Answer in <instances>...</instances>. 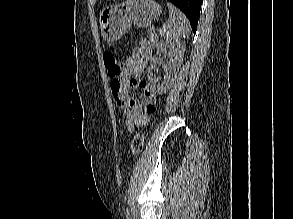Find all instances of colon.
Wrapping results in <instances>:
<instances>
[{"label": "colon", "instance_id": "5ec220e1", "mask_svg": "<svg viewBox=\"0 0 293 219\" xmlns=\"http://www.w3.org/2000/svg\"><path fill=\"white\" fill-rule=\"evenodd\" d=\"M104 65L107 69V72L110 76L113 77L112 87L114 90H118L119 83L117 81L118 76L121 73V66L115 57V55L111 52H107L104 54ZM147 111L152 114L154 112V108L152 106L147 107ZM145 140V135L143 133H138L134 136L131 142V151L134 156H138L143 148Z\"/></svg>", "mask_w": 293, "mask_h": 219}]
</instances>
